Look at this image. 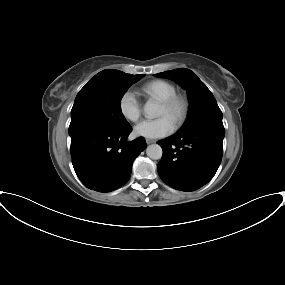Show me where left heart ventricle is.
Masks as SVG:
<instances>
[{
	"label": "left heart ventricle",
	"mask_w": 285,
	"mask_h": 285,
	"mask_svg": "<svg viewBox=\"0 0 285 285\" xmlns=\"http://www.w3.org/2000/svg\"><path fill=\"white\" fill-rule=\"evenodd\" d=\"M177 111L176 110H169L160 105L158 110V116H167L169 117L173 122H175Z\"/></svg>",
	"instance_id": "1"
}]
</instances>
